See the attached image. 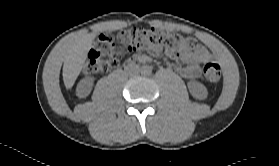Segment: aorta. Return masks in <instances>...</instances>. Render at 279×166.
<instances>
[{"label":"aorta","mask_w":279,"mask_h":166,"mask_svg":"<svg viewBox=\"0 0 279 166\" xmlns=\"http://www.w3.org/2000/svg\"><path fill=\"white\" fill-rule=\"evenodd\" d=\"M151 67L149 66H143L142 69H141V73L143 75H149L151 73Z\"/></svg>","instance_id":"obj_1"}]
</instances>
